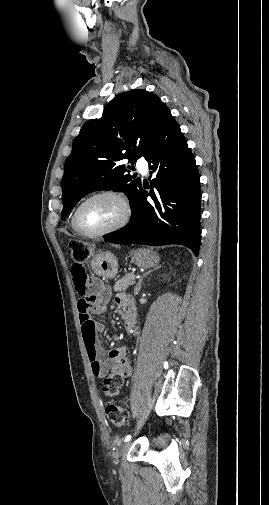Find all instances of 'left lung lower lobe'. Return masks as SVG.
<instances>
[{
	"label": "left lung lower lobe",
	"instance_id": "1",
	"mask_svg": "<svg viewBox=\"0 0 269 505\" xmlns=\"http://www.w3.org/2000/svg\"><path fill=\"white\" fill-rule=\"evenodd\" d=\"M145 159L153 175L141 187L128 225L105 241L161 246L180 244L197 254L200 248L201 189L195 158L171 112L156 128ZM150 195L153 201L148 202Z\"/></svg>",
	"mask_w": 269,
	"mask_h": 505
}]
</instances>
